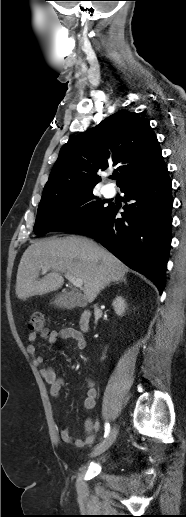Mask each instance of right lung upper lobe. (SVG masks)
Returning <instances> with one entry per match:
<instances>
[{
	"label": "right lung upper lobe",
	"mask_w": 186,
	"mask_h": 517,
	"mask_svg": "<svg viewBox=\"0 0 186 517\" xmlns=\"http://www.w3.org/2000/svg\"><path fill=\"white\" fill-rule=\"evenodd\" d=\"M163 163L159 142L149 121L137 113L120 110L70 139L59 152L41 201L93 190L96 171L117 165L118 186L152 172Z\"/></svg>",
	"instance_id": "obj_1"
}]
</instances>
